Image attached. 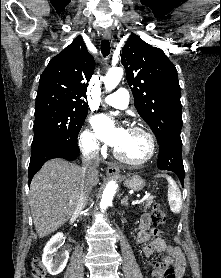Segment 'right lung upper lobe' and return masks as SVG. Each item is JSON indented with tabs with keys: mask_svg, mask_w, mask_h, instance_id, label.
<instances>
[{
	"mask_svg": "<svg viewBox=\"0 0 221 278\" xmlns=\"http://www.w3.org/2000/svg\"><path fill=\"white\" fill-rule=\"evenodd\" d=\"M94 73V58L78 36L53 57L40 76L36 107L60 106L87 110L82 97Z\"/></svg>",
	"mask_w": 221,
	"mask_h": 278,
	"instance_id": "obj_1",
	"label": "right lung upper lobe"
}]
</instances>
